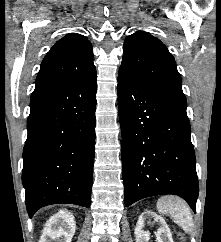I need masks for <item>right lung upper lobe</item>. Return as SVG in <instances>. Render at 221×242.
<instances>
[{
  "mask_svg": "<svg viewBox=\"0 0 221 242\" xmlns=\"http://www.w3.org/2000/svg\"><path fill=\"white\" fill-rule=\"evenodd\" d=\"M93 60L92 45L87 37L67 34L43 59L31 99L79 84L96 72Z\"/></svg>",
  "mask_w": 221,
  "mask_h": 242,
  "instance_id": "cb5924a9",
  "label": "right lung upper lobe"
}]
</instances>
